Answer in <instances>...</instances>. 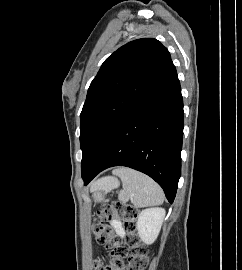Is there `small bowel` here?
I'll list each match as a JSON object with an SVG mask.
<instances>
[{"instance_id": "1", "label": "small bowel", "mask_w": 242, "mask_h": 270, "mask_svg": "<svg viewBox=\"0 0 242 270\" xmlns=\"http://www.w3.org/2000/svg\"><path fill=\"white\" fill-rule=\"evenodd\" d=\"M112 226L115 230V232L120 235V236H123L124 235V228H123V225L120 221L118 220H113L112 221Z\"/></svg>"}]
</instances>
